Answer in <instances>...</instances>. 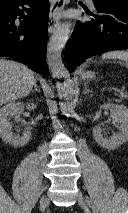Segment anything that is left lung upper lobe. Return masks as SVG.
Wrapping results in <instances>:
<instances>
[{
    "label": "left lung upper lobe",
    "instance_id": "obj_1",
    "mask_svg": "<svg viewBox=\"0 0 128 213\" xmlns=\"http://www.w3.org/2000/svg\"><path fill=\"white\" fill-rule=\"evenodd\" d=\"M98 1H106V0H98ZM124 1H128V0H124Z\"/></svg>",
    "mask_w": 128,
    "mask_h": 213
}]
</instances>
